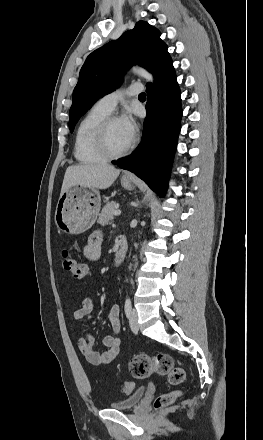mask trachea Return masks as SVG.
I'll return each instance as SVG.
<instances>
[{
  "label": "trachea",
  "mask_w": 263,
  "mask_h": 440,
  "mask_svg": "<svg viewBox=\"0 0 263 440\" xmlns=\"http://www.w3.org/2000/svg\"><path fill=\"white\" fill-rule=\"evenodd\" d=\"M139 97H146V94L145 93H141V94H139Z\"/></svg>",
  "instance_id": "1"
}]
</instances>
